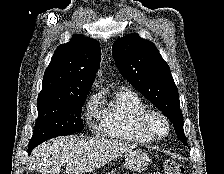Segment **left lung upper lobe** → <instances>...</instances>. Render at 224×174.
I'll list each match as a JSON object with an SVG mask.
<instances>
[{"label": "left lung upper lobe", "mask_w": 224, "mask_h": 174, "mask_svg": "<svg viewBox=\"0 0 224 174\" xmlns=\"http://www.w3.org/2000/svg\"><path fill=\"white\" fill-rule=\"evenodd\" d=\"M112 54L120 73L163 112L173 123L180 141L187 145L178 89L155 45L137 34H130L113 44Z\"/></svg>", "instance_id": "5c2ea615"}]
</instances>
